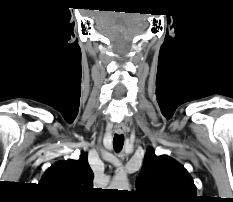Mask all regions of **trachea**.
<instances>
[{
  "instance_id": "obj_1",
  "label": "trachea",
  "mask_w": 233,
  "mask_h": 202,
  "mask_svg": "<svg viewBox=\"0 0 233 202\" xmlns=\"http://www.w3.org/2000/svg\"><path fill=\"white\" fill-rule=\"evenodd\" d=\"M123 144H124V136L123 135L115 134L114 135V139H113L114 150L116 152L121 151V149L123 147Z\"/></svg>"
}]
</instances>
